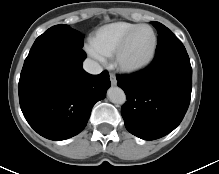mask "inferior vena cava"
<instances>
[{
	"mask_svg": "<svg viewBox=\"0 0 219 174\" xmlns=\"http://www.w3.org/2000/svg\"><path fill=\"white\" fill-rule=\"evenodd\" d=\"M83 68L86 72L90 74H100L102 72V67L94 60L86 59L83 63Z\"/></svg>",
	"mask_w": 219,
	"mask_h": 174,
	"instance_id": "obj_1",
	"label": "inferior vena cava"
}]
</instances>
